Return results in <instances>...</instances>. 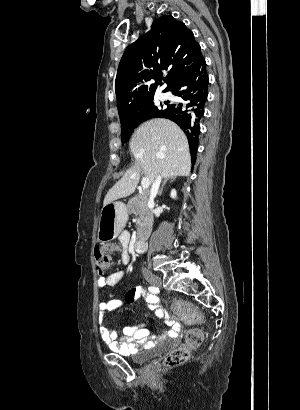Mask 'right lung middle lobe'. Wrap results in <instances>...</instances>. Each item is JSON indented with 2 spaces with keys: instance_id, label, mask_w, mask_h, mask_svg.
<instances>
[{
  "instance_id": "1",
  "label": "right lung middle lobe",
  "mask_w": 300,
  "mask_h": 410,
  "mask_svg": "<svg viewBox=\"0 0 300 410\" xmlns=\"http://www.w3.org/2000/svg\"><path fill=\"white\" fill-rule=\"evenodd\" d=\"M153 97H151L143 110L134 118L122 121V142L128 141L133 130L143 121L153 118L160 112V110L154 106Z\"/></svg>"
}]
</instances>
